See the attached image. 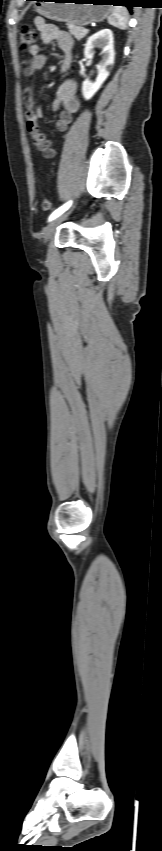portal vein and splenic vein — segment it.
<instances>
[{"mask_svg":"<svg viewBox=\"0 0 162 851\" xmlns=\"http://www.w3.org/2000/svg\"><path fill=\"white\" fill-rule=\"evenodd\" d=\"M83 31H84V32H88V29H85V28H84V30H83Z\"/></svg>","mask_w":162,"mask_h":851,"instance_id":"18ae733b","label":"portal vein and splenic vein"}]
</instances>
